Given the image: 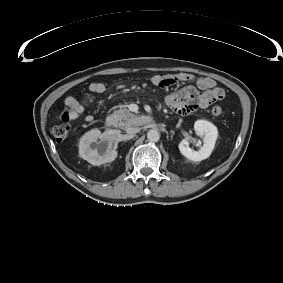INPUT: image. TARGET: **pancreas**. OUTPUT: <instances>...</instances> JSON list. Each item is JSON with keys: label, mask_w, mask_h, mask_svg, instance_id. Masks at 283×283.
Wrapping results in <instances>:
<instances>
[{"label": "pancreas", "mask_w": 283, "mask_h": 283, "mask_svg": "<svg viewBox=\"0 0 283 283\" xmlns=\"http://www.w3.org/2000/svg\"><path fill=\"white\" fill-rule=\"evenodd\" d=\"M112 117L115 119V126L122 129L128 126H137L141 124V118L126 108L115 110Z\"/></svg>", "instance_id": "pancreas-1"}]
</instances>
